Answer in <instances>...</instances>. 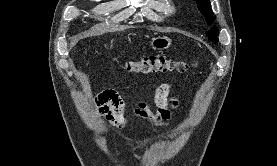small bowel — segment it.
Here are the masks:
<instances>
[{
    "instance_id": "small-bowel-1",
    "label": "small bowel",
    "mask_w": 277,
    "mask_h": 166,
    "mask_svg": "<svg viewBox=\"0 0 277 166\" xmlns=\"http://www.w3.org/2000/svg\"><path fill=\"white\" fill-rule=\"evenodd\" d=\"M170 87L163 83L159 85L154 94L153 106H149L145 102H139L132 110V117L149 123L156 127H167L170 125L171 113L168 108ZM96 106L98 114L105 117L108 121L119 127L127 125L124 114V103L119 94L112 89L102 91L97 95ZM138 128L141 123L136 125Z\"/></svg>"
}]
</instances>
